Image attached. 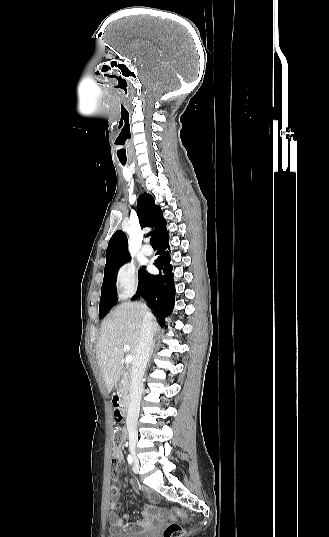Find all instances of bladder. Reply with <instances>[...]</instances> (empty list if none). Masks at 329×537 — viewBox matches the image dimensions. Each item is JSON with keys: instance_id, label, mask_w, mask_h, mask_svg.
<instances>
[{"instance_id": "bladder-1", "label": "bladder", "mask_w": 329, "mask_h": 537, "mask_svg": "<svg viewBox=\"0 0 329 537\" xmlns=\"http://www.w3.org/2000/svg\"><path fill=\"white\" fill-rule=\"evenodd\" d=\"M107 537H155L152 532H141V533H125V532H115L109 530Z\"/></svg>"}]
</instances>
